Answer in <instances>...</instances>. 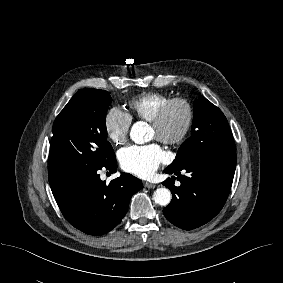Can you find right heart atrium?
<instances>
[{"mask_svg":"<svg viewBox=\"0 0 283 283\" xmlns=\"http://www.w3.org/2000/svg\"><path fill=\"white\" fill-rule=\"evenodd\" d=\"M130 126V116L119 108L113 107L105 115V132L115 145H123L127 142Z\"/></svg>","mask_w":283,"mask_h":283,"instance_id":"obj_1","label":"right heart atrium"}]
</instances>
